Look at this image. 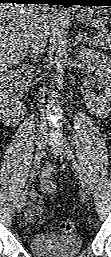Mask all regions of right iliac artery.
<instances>
[{
    "label": "right iliac artery",
    "instance_id": "obj_1",
    "mask_svg": "<svg viewBox=\"0 0 111 257\" xmlns=\"http://www.w3.org/2000/svg\"><path fill=\"white\" fill-rule=\"evenodd\" d=\"M30 183L31 182L28 181L27 183L24 184L20 198H26V196L28 194L29 187H30Z\"/></svg>",
    "mask_w": 111,
    "mask_h": 257
}]
</instances>
